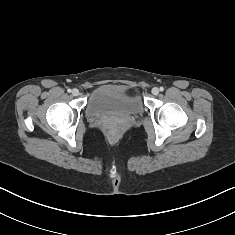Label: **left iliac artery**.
Instances as JSON below:
<instances>
[{
  "label": "left iliac artery",
  "mask_w": 235,
  "mask_h": 235,
  "mask_svg": "<svg viewBox=\"0 0 235 235\" xmlns=\"http://www.w3.org/2000/svg\"><path fill=\"white\" fill-rule=\"evenodd\" d=\"M164 90V88L163 87H160V91H163Z\"/></svg>",
  "instance_id": "1"
}]
</instances>
